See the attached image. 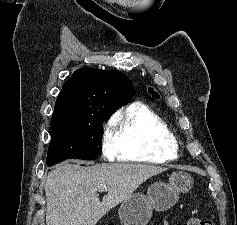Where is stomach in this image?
Returning a JSON list of instances; mask_svg holds the SVG:
<instances>
[{
  "label": "stomach",
  "instance_id": "1",
  "mask_svg": "<svg viewBox=\"0 0 237 225\" xmlns=\"http://www.w3.org/2000/svg\"><path fill=\"white\" fill-rule=\"evenodd\" d=\"M193 178L186 172L176 171L169 176L168 183L155 182L148 187L147 196L134 193L121 204L119 217L124 225H146L152 210L165 211L177 201L180 193L188 192Z\"/></svg>",
  "mask_w": 237,
  "mask_h": 225
}]
</instances>
